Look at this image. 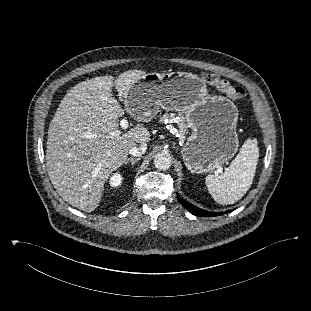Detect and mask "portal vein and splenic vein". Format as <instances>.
<instances>
[{"label":"portal vein and splenic vein","instance_id":"obj_1","mask_svg":"<svg viewBox=\"0 0 311 311\" xmlns=\"http://www.w3.org/2000/svg\"><path fill=\"white\" fill-rule=\"evenodd\" d=\"M120 126L122 129H127L128 128V121L126 119H122L120 121ZM115 133H112L111 135H114ZM218 172H221V171H218Z\"/></svg>","mask_w":311,"mask_h":311}]
</instances>
